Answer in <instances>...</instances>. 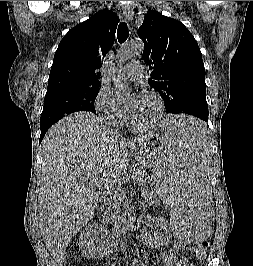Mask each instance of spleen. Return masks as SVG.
<instances>
[{
    "instance_id": "3e777b00",
    "label": "spleen",
    "mask_w": 253,
    "mask_h": 266,
    "mask_svg": "<svg viewBox=\"0 0 253 266\" xmlns=\"http://www.w3.org/2000/svg\"><path fill=\"white\" fill-rule=\"evenodd\" d=\"M163 145L148 178L151 199L171 210L169 223L176 248H201L214 233L216 208L210 207L212 178L208 136L194 115H167L162 125Z\"/></svg>"
}]
</instances>
